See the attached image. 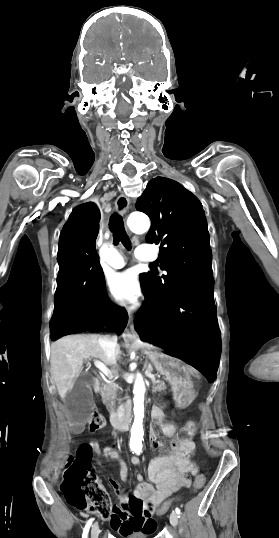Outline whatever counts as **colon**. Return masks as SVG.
Segmentation results:
<instances>
[{
    "mask_svg": "<svg viewBox=\"0 0 279 538\" xmlns=\"http://www.w3.org/2000/svg\"><path fill=\"white\" fill-rule=\"evenodd\" d=\"M92 426L95 430L101 429L104 426L103 418L96 417ZM195 432L196 424L190 421L178 431L176 441L188 446L189 468L193 474H196L193 491L198 492L205 484V477L202 474H197L198 464L195 460L197 451L192 443ZM94 455L93 447L84 444L77 449L75 456L69 457L61 484V490L66 500L78 509H88L94 512L103 520H109L114 515L120 517L152 515L155 506L145 503L133 495L121 506L112 505L109 493L91 470L90 462ZM172 504V501L164 502L158 513L167 512Z\"/></svg>",
    "mask_w": 279,
    "mask_h": 538,
    "instance_id": "5ec220e1",
    "label": "colon"
}]
</instances>
